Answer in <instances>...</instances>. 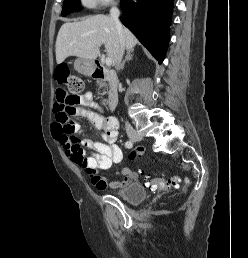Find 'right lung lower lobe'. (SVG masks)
<instances>
[{"mask_svg":"<svg viewBox=\"0 0 248 258\" xmlns=\"http://www.w3.org/2000/svg\"><path fill=\"white\" fill-rule=\"evenodd\" d=\"M121 22L161 64L169 42L173 0H123Z\"/></svg>","mask_w":248,"mask_h":258,"instance_id":"right-lung-lower-lobe-1","label":"right lung lower lobe"}]
</instances>
